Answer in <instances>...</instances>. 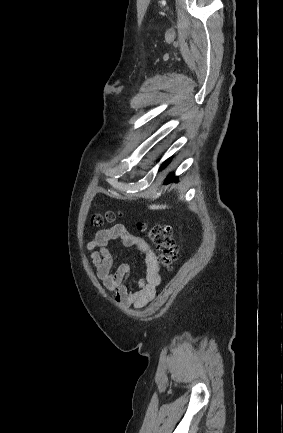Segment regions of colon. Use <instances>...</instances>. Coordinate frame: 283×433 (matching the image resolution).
<instances>
[{
	"mask_svg": "<svg viewBox=\"0 0 283 433\" xmlns=\"http://www.w3.org/2000/svg\"><path fill=\"white\" fill-rule=\"evenodd\" d=\"M115 217V213L111 211L105 214H94L91 223L94 226H101L104 222H112ZM137 227L140 231L145 232L156 245L161 265L166 269H171L177 260L178 253L171 226L162 224L149 226L145 223H138Z\"/></svg>",
	"mask_w": 283,
	"mask_h": 433,
	"instance_id": "1",
	"label": "colon"
}]
</instances>
